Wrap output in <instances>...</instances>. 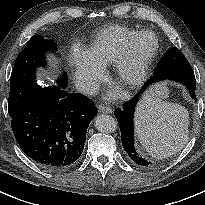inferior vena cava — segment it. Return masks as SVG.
Returning <instances> with one entry per match:
<instances>
[{
  "label": "inferior vena cava",
  "instance_id": "inferior-vena-cava-1",
  "mask_svg": "<svg viewBox=\"0 0 205 205\" xmlns=\"http://www.w3.org/2000/svg\"><path fill=\"white\" fill-rule=\"evenodd\" d=\"M76 89L83 94L95 95L99 90L98 83L91 80H77L75 82Z\"/></svg>",
  "mask_w": 205,
  "mask_h": 205
}]
</instances>
